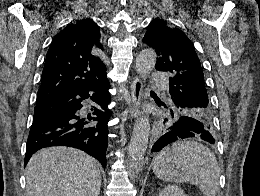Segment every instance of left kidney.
Instances as JSON below:
<instances>
[{
  "instance_id": "1",
  "label": "left kidney",
  "mask_w": 260,
  "mask_h": 196,
  "mask_svg": "<svg viewBox=\"0 0 260 196\" xmlns=\"http://www.w3.org/2000/svg\"><path fill=\"white\" fill-rule=\"evenodd\" d=\"M159 196H186V194L178 186H165L164 190L159 192Z\"/></svg>"
}]
</instances>
